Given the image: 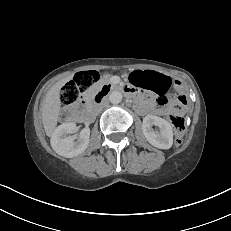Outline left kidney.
Masks as SVG:
<instances>
[{"mask_svg":"<svg viewBox=\"0 0 231 231\" xmlns=\"http://www.w3.org/2000/svg\"><path fill=\"white\" fill-rule=\"evenodd\" d=\"M155 125L160 129L158 133L152 126ZM142 132L148 142L159 149H169L173 145V130L172 126L165 119L147 115L143 118Z\"/></svg>","mask_w":231,"mask_h":231,"instance_id":"obj_1","label":"left kidney"}]
</instances>
